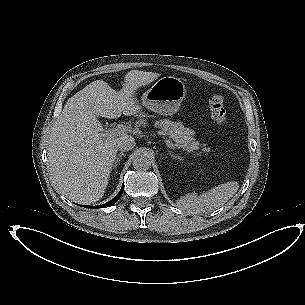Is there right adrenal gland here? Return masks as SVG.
<instances>
[{
    "label": "right adrenal gland",
    "instance_id": "right-adrenal-gland-1",
    "mask_svg": "<svg viewBox=\"0 0 305 305\" xmlns=\"http://www.w3.org/2000/svg\"><path fill=\"white\" fill-rule=\"evenodd\" d=\"M122 157H125V154L123 152H120L117 154V156H115L112 164L113 169H116V167L120 164Z\"/></svg>",
    "mask_w": 305,
    "mask_h": 305
}]
</instances>
